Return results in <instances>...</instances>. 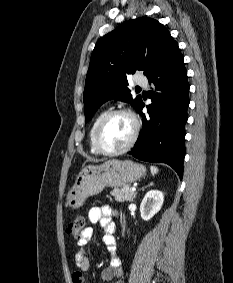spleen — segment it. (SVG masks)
<instances>
[{
	"instance_id": "1",
	"label": "spleen",
	"mask_w": 233,
	"mask_h": 283,
	"mask_svg": "<svg viewBox=\"0 0 233 283\" xmlns=\"http://www.w3.org/2000/svg\"><path fill=\"white\" fill-rule=\"evenodd\" d=\"M150 170H151V174H152V175H155V174L158 172V168L155 167V166H151V167H150Z\"/></svg>"
}]
</instances>
